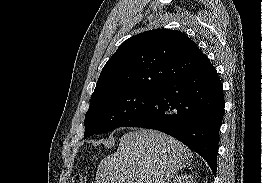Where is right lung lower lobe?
<instances>
[{
    "label": "right lung lower lobe",
    "instance_id": "98d812e1",
    "mask_svg": "<svg viewBox=\"0 0 262 183\" xmlns=\"http://www.w3.org/2000/svg\"><path fill=\"white\" fill-rule=\"evenodd\" d=\"M225 101L210 62L162 84L148 107L125 127L155 129L202 156L216 175L219 129Z\"/></svg>",
    "mask_w": 262,
    "mask_h": 183
}]
</instances>
